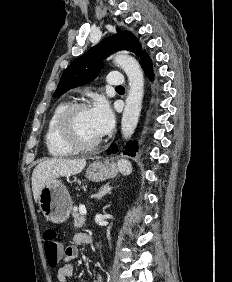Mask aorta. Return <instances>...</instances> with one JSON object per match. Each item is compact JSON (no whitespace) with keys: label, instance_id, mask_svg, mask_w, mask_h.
Returning <instances> with one entry per match:
<instances>
[{"label":"aorta","instance_id":"aorta-1","mask_svg":"<svg viewBox=\"0 0 232 282\" xmlns=\"http://www.w3.org/2000/svg\"><path fill=\"white\" fill-rule=\"evenodd\" d=\"M113 61L126 73L129 81L128 96L122 115L121 131L125 139L131 137L137 126L144 93V76L138 61L127 54H118Z\"/></svg>","mask_w":232,"mask_h":282}]
</instances>
